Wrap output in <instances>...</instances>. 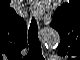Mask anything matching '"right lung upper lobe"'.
Listing matches in <instances>:
<instances>
[{"mask_svg":"<svg viewBox=\"0 0 80 60\" xmlns=\"http://www.w3.org/2000/svg\"><path fill=\"white\" fill-rule=\"evenodd\" d=\"M10 17L6 23V32L9 42L18 49L26 46V33L23 30L24 20L14 10L10 9Z\"/></svg>","mask_w":80,"mask_h":60,"instance_id":"cb5924a9","label":"right lung upper lobe"}]
</instances>
